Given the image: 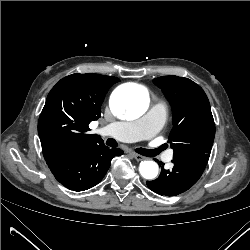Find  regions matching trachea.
<instances>
[{"label": "trachea", "mask_w": 250, "mask_h": 250, "mask_svg": "<svg viewBox=\"0 0 250 250\" xmlns=\"http://www.w3.org/2000/svg\"><path fill=\"white\" fill-rule=\"evenodd\" d=\"M106 144L110 147H117L118 143L112 139V138H108L106 141ZM165 149L164 146H161L157 149H143V148H137L135 151L141 155L144 156H148V157H154L156 155H158L161 151H163Z\"/></svg>", "instance_id": "3493384b"}]
</instances>
